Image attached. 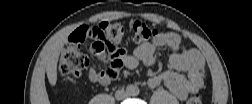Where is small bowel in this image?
Masks as SVG:
<instances>
[{"label": "small bowel", "instance_id": "small-bowel-1", "mask_svg": "<svg viewBox=\"0 0 252 104\" xmlns=\"http://www.w3.org/2000/svg\"><path fill=\"white\" fill-rule=\"evenodd\" d=\"M158 47H168L171 50L169 64L172 70L153 75L148 80L150 87L164 85L180 100L187 99L189 94L201 89L206 71L204 58L199 51L186 48L180 36L173 32L161 33L154 40L138 46L133 53L124 55L122 65L128 69H134L140 63L151 66L156 62L155 52ZM92 51L99 57L95 44L92 45ZM87 78L91 83L102 86H108L113 81L106 71H96L93 68L89 69Z\"/></svg>", "mask_w": 252, "mask_h": 104}]
</instances>
